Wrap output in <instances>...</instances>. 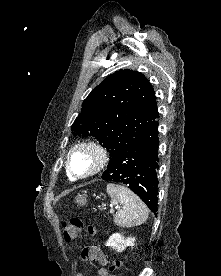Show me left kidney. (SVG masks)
I'll list each match as a JSON object with an SVG mask.
<instances>
[{"instance_id":"5707ae66","label":"left kidney","mask_w":221,"mask_h":276,"mask_svg":"<svg viewBox=\"0 0 221 276\" xmlns=\"http://www.w3.org/2000/svg\"><path fill=\"white\" fill-rule=\"evenodd\" d=\"M135 238L123 237L120 233H114L111 235L106 243V246H109L115 249L117 252L124 251L128 246L134 245Z\"/></svg>"}]
</instances>
